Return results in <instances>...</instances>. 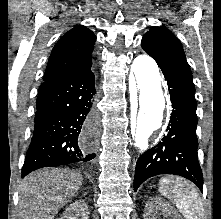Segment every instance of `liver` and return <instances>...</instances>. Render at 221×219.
Returning a JSON list of instances; mask_svg holds the SVG:
<instances>
[{
    "mask_svg": "<svg viewBox=\"0 0 221 219\" xmlns=\"http://www.w3.org/2000/svg\"><path fill=\"white\" fill-rule=\"evenodd\" d=\"M82 183V175L70 170L42 169L31 173L20 186L19 219H54Z\"/></svg>",
    "mask_w": 221,
    "mask_h": 219,
    "instance_id": "1",
    "label": "liver"
}]
</instances>
